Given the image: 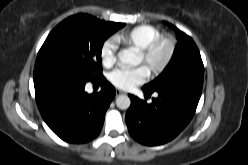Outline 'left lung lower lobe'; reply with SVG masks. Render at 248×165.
I'll use <instances>...</instances> for the list:
<instances>
[{
  "instance_id": "1",
  "label": "left lung lower lobe",
  "mask_w": 248,
  "mask_h": 165,
  "mask_svg": "<svg viewBox=\"0 0 248 165\" xmlns=\"http://www.w3.org/2000/svg\"><path fill=\"white\" fill-rule=\"evenodd\" d=\"M158 94L147 104L129 95L131 106L126 124L133 139L144 145H160L175 138L190 122L197 108L202 87L195 85L167 86L153 92Z\"/></svg>"
}]
</instances>
